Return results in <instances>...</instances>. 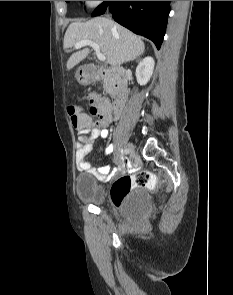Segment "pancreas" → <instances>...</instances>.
<instances>
[{
  "label": "pancreas",
  "instance_id": "cf45deb5",
  "mask_svg": "<svg viewBox=\"0 0 233 295\" xmlns=\"http://www.w3.org/2000/svg\"><path fill=\"white\" fill-rule=\"evenodd\" d=\"M115 82L114 79L111 77H106L103 80V89L106 91V93L110 95H114L115 93Z\"/></svg>",
  "mask_w": 233,
  "mask_h": 295
}]
</instances>
